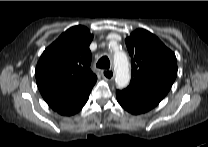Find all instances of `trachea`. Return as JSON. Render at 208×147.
I'll return each instance as SVG.
<instances>
[{"label":"trachea","mask_w":208,"mask_h":147,"mask_svg":"<svg viewBox=\"0 0 208 147\" xmlns=\"http://www.w3.org/2000/svg\"><path fill=\"white\" fill-rule=\"evenodd\" d=\"M96 66L101 69H109L110 67L109 58L107 56H103L98 60Z\"/></svg>","instance_id":"trachea-1"}]
</instances>
